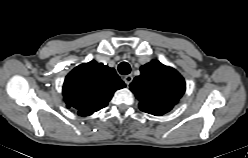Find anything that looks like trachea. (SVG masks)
I'll list each match as a JSON object with an SVG mask.
<instances>
[{
	"mask_svg": "<svg viewBox=\"0 0 248 158\" xmlns=\"http://www.w3.org/2000/svg\"><path fill=\"white\" fill-rule=\"evenodd\" d=\"M118 70H119L120 74L127 75L130 73L131 67L127 62H122L119 64Z\"/></svg>",
	"mask_w": 248,
	"mask_h": 158,
	"instance_id": "obj_1",
	"label": "trachea"
}]
</instances>
